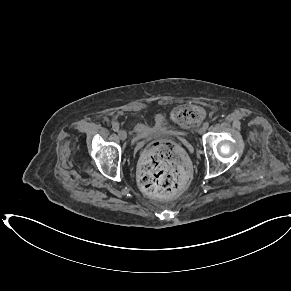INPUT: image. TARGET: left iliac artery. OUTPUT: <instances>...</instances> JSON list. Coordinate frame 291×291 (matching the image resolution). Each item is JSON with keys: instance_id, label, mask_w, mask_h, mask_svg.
I'll return each mask as SVG.
<instances>
[{"instance_id": "obj_1", "label": "left iliac artery", "mask_w": 291, "mask_h": 291, "mask_svg": "<svg viewBox=\"0 0 291 291\" xmlns=\"http://www.w3.org/2000/svg\"><path fill=\"white\" fill-rule=\"evenodd\" d=\"M203 126L207 129V128L209 127V123H208V122H205V123L203 124Z\"/></svg>"}]
</instances>
